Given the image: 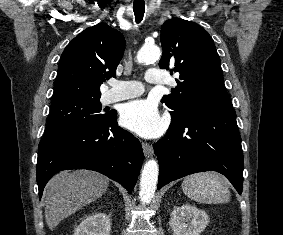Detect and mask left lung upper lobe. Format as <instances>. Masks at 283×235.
I'll return each mask as SVG.
<instances>
[{
    "label": "left lung upper lobe",
    "mask_w": 283,
    "mask_h": 235,
    "mask_svg": "<svg viewBox=\"0 0 283 235\" xmlns=\"http://www.w3.org/2000/svg\"><path fill=\"white\" fill-rule=\"evenodd\" d=\"M162 69L173 66L179 78L173 94L163 97L172 122L205 112L233 110L224 86L221 61L214 42L200 25L172 18L161 27Z\"/></svg>",
    "instance_id": "left-lung-upper-lobe-1"
}]
</instances>
